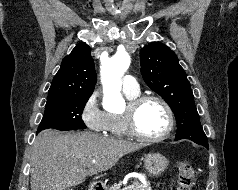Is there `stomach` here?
<instances>
[{"label":"stomach","instance_id":"stomach-1","mask_svg":"<svg viewBox=\"0 0 238 190\" xmlns=\"http://www.w3.org/2000/svg\"><path fill=\"white\" fill-rule=\"evenodd\" d=\"M144 167L151 177L160 176L168 167V159L160 153H149L144 157Z\"/></svg>","mask_w":238,"mask_h":190}]
</instances>
